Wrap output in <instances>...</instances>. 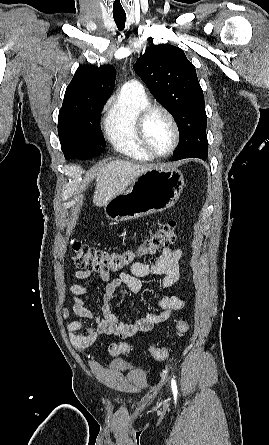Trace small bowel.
<instances>
[{
	"label": "small bowel",
	"mask_w": 269,
	"mask_h": 445,
	"mask_svg": "<svg viewBox=\"0 0 269 445\" xmlns=\"http://www.w3.org/2000/svg\"><path fill=\"white\" fill-rule=\"evenodd\" d=\"M181 257L180 249L165 248L155 262L151 264L134 262L128 272H121L114 279H110V274L107 272H98L94 281L106 283L102 302L98 305H90L82 298L89 293L92 283L70 285L74 314L80 318L93 320L96 325L92 327L79 320L68 322L66 328L73 346L79 351L85 350L94 345L99 334L130 338L136 334L147 333L168 320L173 312L182 310L185 307L182 298L162 296L156 302L159 312H146L138 318L124 321L116 316L111 306L117 289L125 287L132 293H139L145 287L146 278H160V290L172 287L180 278ZM91 273L88 270H76L72 276L76 279H86ZM69 314L68 309L63 310L65 319ZM80 331L83 333H79Z\"/></svg>",
	"instance_id": "small-bowel-1"
}]
</instances>
